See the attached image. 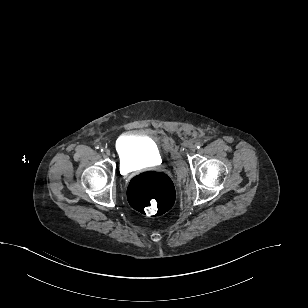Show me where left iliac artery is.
Masks as SVG:
<instances>
[{"mask_svg":"<svg viewBox=\"0 0 308 308\" xmlns=\"http://www.w3.org/2000/svg\"><path fill=\"white\" fill-rule=\"evenodd\" d=\"M203 144L201 142L196 143V147L199 149Z\"/></svg>","mask_w":308,"mask_h":308,"instance_id":"1","label":"left iliac artery"}]
</instances>
